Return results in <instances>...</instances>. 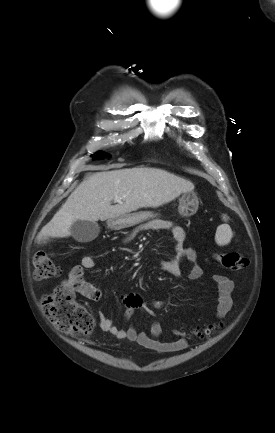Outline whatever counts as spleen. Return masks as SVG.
<instances>
[{"instance_id": "3e777b00", "label": "spleen", "mask_w": 275, "mask_h": 433, "mask_svg": "<svg viewBox=\"0 0 275 433\" xmlns=\"http://www.w3.org/2000/svg\"><path fill=\"white\" fill-rule=\"evenodd\" d=\"M223 219L226 221L228 218L226 215L223 216ZM233 233L228 224H222L218 226L215 234V241L218 245L224 246L230 243L232 239Z\"/></svg>"}]
</instances>
